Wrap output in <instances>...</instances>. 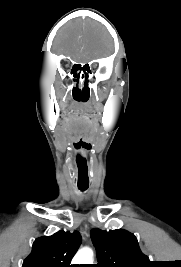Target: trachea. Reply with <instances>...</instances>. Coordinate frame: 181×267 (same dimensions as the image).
Listing matches in <instances>:
<instances>
[{
	"instance_id": "obj_1",
	"label": "trachea",
	"mask_w": 181,
	"mask_h": 267,
	"mask_svg": "<svg viewBox=\"0 0 181 267\" xmlns=\"http://www.w3.org/2000/svg\"><path fill=\"white\" fill-rule=\"evenodd\" d=\"M79 190L85 191L87 190L88 186H78Z\"/></svg>"
}]
</instances>
